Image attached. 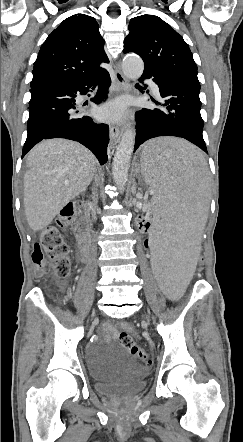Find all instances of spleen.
Returning a JSON list of instances; mask_svg holds the SVG:
<instances>
[{"label": "spleen", "mask_w": 243, "mask_h": 442, "mask_svg": "<svg viewBox=\"0 0 243 442\" xmlns=\"http://www.w3.org/2000/svg\"><path fill=\"white\" fill-rule=\"evenodd\" d=\"M136 177L150 184L154 233L152 273L163 296H184L207 219L208 171L203 153L177 138L155 139L139 156Z\"/></svg>", "instance_id": "1"}]
</instances>
